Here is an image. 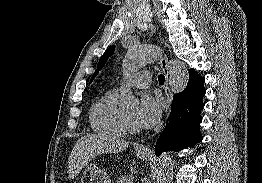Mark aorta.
<instances>
[{
  "mask_svg": "<svg viewBox=\"0 0 262 183\" xmlns=\"http://www.w3.org/2000/svg\"><path fill=\"white\" fill-rule=\"evenodd\" d=\"M161 50L158 46L149 45L143 47H131L125 56L123 67L126 73H134L149 63L160 58ZM189 81L188 70L183 62L172 59L168 63V84L172 93H180ZM120 105L122 108L130 109L138 105V100L128 89L121 93ZM171 158L169 154L163 153L156 167L157 182L163 183L171 172Z\"/></svg>",
  "mask_w": 262,
  "mask_h": 183,
  "instance_id": "aorta-1",
  "label": "aorta"
}]
</instances>
